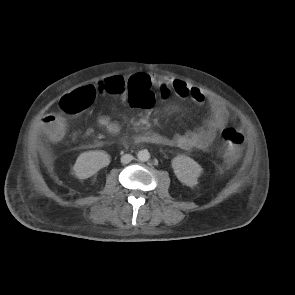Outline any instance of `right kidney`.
<instances>
[{
    "mask_svg": "<svg viewBox=\"0 0 295 295\" xmlns=\"http://www.w3.org/2000/svg\"><path fill=\"white\" fill-rule=\"evenodd\" d=\"M109 163L110 157L105 151H88L78 156L73 171L79 179H86L108 166Z\"/></svg>",
    "mask_w": 295,
    "mask_h": 295,
    "instance_id": "1",
    "label": "right kidney"
}]
</instances>
